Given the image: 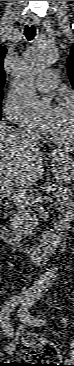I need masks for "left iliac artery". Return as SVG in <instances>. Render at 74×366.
<instances>
[{
	"instance_id": "1",
	"label": "left iliac artery",
	"mask_w": 74,
	"mask_h": 366,
	"mask_svg": "<svg viewBox=\"0 0 74 366\" xmlns=\"http://www.w3.org/2000/svg\"><path fill=\"white\" fill-rule=\"evenodd\" d=\"M35 300H36V297L28 299V301H26L23 304V307L19 313V316L21 318H23L22 321L25 323L42 326L45 324L44 320L34 318L32 315H30L28 313L29 308L34 304Z\"/></svg>"
}]
</instances>
